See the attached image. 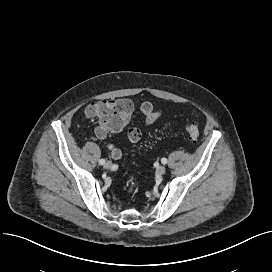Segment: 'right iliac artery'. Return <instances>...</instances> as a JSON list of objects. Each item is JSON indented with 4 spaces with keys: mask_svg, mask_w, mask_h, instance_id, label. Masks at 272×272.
<instances>
[{
    "mask_svg": "<svg viewBox=\"0 0 272 272\" xmlns=\"http://www.w3.org/2000/svg\"><path fill=\"white\" fill-rule=\"evenodd\" d=\"M99 164L101 165L105 164V160L104 159L99 160Z\"/></svg>",
    "mask_w": 272,
    "mask_h": 272,
    "instance_id": "82829eb1",
    "label": "right iliac artery"
}]
</instances>
